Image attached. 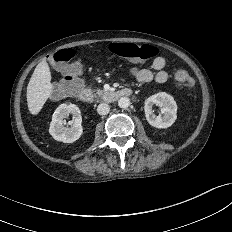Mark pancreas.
<instances>
[{"label": "pancreas", "mask_w": 232, "mask_h": 232, "mask_svg": "<svg viewBox=\"0 0 232 232\" xmlns=\"http://www.w3.org/2000/svg\"><path fill=\"white\" fill-rule=\"evenodd\" d=\"M106 94L105 90L97 89L95 95L97 96H103Z\"/></svg>", "instance_id": "pancreas-1"}]
</instances>
